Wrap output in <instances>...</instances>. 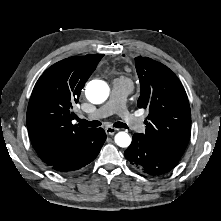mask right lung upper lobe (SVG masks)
Listing matches in <instances>:
<instances>
[{
    "mask_svg": "<svg viewBox=\"0 0 221 221\" xmlns=\"http://www.w3.org/2000/svg\"><path fill=\"white\" fill-rule=\"evenodd\" d=\"M104 54L70 57L38 79L27 110V128L41 160L52 166L81 147L93 129L73 124V106Z\"/></svg>",
    "mask_w": 221,
    "mask_h": 221,
    "instance_id": "1",
    "label": "right lung upper lobe"
}]
</instances>
